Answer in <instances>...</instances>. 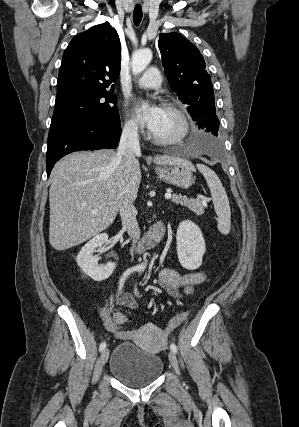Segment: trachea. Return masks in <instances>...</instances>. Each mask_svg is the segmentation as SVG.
I'll list each match as a JSON object with an SVG mask.
<instances>
[{
  "label": "trachea",
  "instance_id": "3493384b",
  "mask_svg": "<svg viewBox=\"0 0 299 427\" xmlns=\"http://www.w3.org/2000/svg\"><path fill=\"white\" fill-rule=\"evenodd\" d=\"M142 16V7L140 5H136L133 12V22L136 26L140 24Z\"/></svg>",
  "mask_w": 299,
  "mask_h": 427
}]
</instances>
